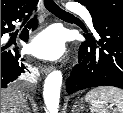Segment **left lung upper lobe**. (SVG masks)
<instances>
[{"mask_svg": "<svg viewBox=\"0 0 123 113\" xmlns=\"http://www.w3.org/2000/svg\"><path fill=\"white\" fill-rule=\"evenodd\" d=\"M84 6H93L98 13H114L123 18V0H76Z\"/></svg>", "mask_w": 123, "mask_h": 113, "instance_id": "1", "label": "left lung upper lobe"}]
</instances>
